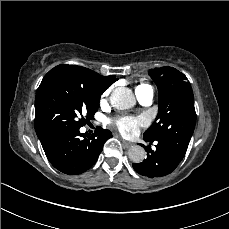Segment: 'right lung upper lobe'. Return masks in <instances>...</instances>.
I'll return each instance as SVG.
<instances>
[{
    "mask_svg": "<svg viewBox=\"0 0 229 229\" xmlns=\"http://www.w3.org/2000/svg\"><path fill=\"white\" fill-rule=\"evenodd\" d=\"M64 72L76 77L93 94L100 95L116 80V76H102L98 73L77 65H58L50 72Z\"/></svg>",
    "mask_w": 229,
    "mask_h": 229,
    "instance_id": "cb5924a9",
    "label": "right lung upper lobe"
}]
</instances>
